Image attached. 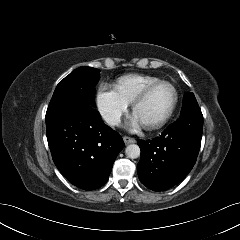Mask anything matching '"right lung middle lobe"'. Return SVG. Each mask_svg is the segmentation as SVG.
Masks as SVG:
<instances>
[{"label": "right lung middle lobe", "mask_w": 240, "mask_h": 240, "mask_svg": "<svg viewBox=\"0 0 240 240\" xmlns=\"http://www.w3.org/2000/svg\"><path fill=\"white\" fill-rule=\"evenodd\" d=\"M100 70L79 67L66 76L56 87L47 111L64 107L95 106V86Z\"/></svg>", "instance_id": "dd1d6c3e"}]
</instances>
